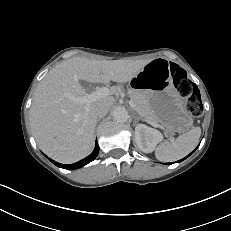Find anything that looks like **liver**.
<instances>
[{
    "mask_svg": "<svg viewBox=\"0 0 231 231\" xmlns=\"http://www.w3.org/2000/svg\"><path fill=\"white\" fill-rule=\"evenodd\" d=\"M151 60L68 59L52 68L39 83L30 109V122L39 148L54 160L70 164L86 157L93 146L96 107L114 103L109 94L89 105L76 104L69 96L85 91L80 80L91 83H126Z\"/></svg>",
    "mask_w": 231,
    "mask_h": 231,
    "instance_id": "6515ba94",
    "label": "liver"
}]
</instances>
